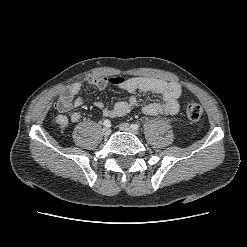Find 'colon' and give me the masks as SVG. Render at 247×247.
Here are the masks:
<instances>
[{
    "instance_id": "1",
    "label": "colon",
    "mask_w": 247,
    "mask_h": 247,
    "mask_svg": "<svg viewBox=\"0 0 247 247\" xmlns=\"http://www.w3.org/2000/svg\"><path fill=\"white\" fill-rule=\"evenodd\" d=\"M203 114L202 107L197 103H189L186 106V115L192 121H197Z\"/></svg>"
}]
</instances>
